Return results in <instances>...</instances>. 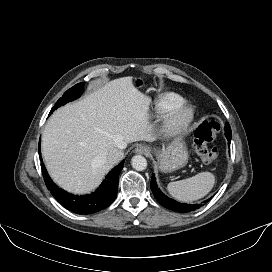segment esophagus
Listing matches in <instances>:
<instances>
[{
	"mask_svg": "<svg viewBox=\"0 0 272 272\" xmlns=\"http://www.w3.org/2000/svg\"><path fill=\"white\" fill-rule=\"evenodd\" d=\"M135 152L138 154L148 155L150 153V148L145 145H140L135 149Z\"/></svg>",
	"mask_w": 272,
	"mask_h": 272,
	"instance_id": "1",
	"label": "esophagus"
}]
</instances>
